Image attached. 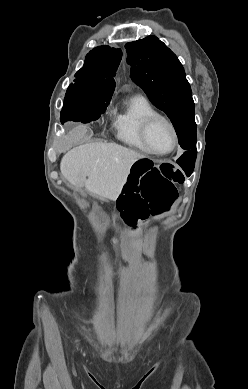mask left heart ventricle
Listing matches in <instances>:
<instances>
[{"label":"left heart ventricle","mask_w":248,"mask_h":389,"mask_svg":"<svg viewBox=\"0 0 248 389\" xmlns=\"http://www.w3.org/2000/svg\"><path fill=\"white\" fill-rule=\"evenodd\" d=\"M149 144L152 149L164 152L171 148L172 138L169 127L163 121H156L149 130Z\"/></svg>","instance_id":"b2bd125f"}]
</instances>
